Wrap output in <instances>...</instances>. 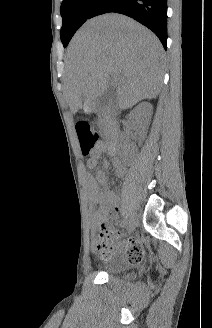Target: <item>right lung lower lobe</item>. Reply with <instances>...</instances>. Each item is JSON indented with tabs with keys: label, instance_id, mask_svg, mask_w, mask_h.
<instances>
[{
	"label": "right lung lower lobe",
	"instance_id": "98d812e1",
	"mask_svg": "<svg viewBox=\"0 0 212 328\" xmlns=\"http://www.w3.org/2000/svg\"><path fill=\"white\" fill-rule=\"evenodd\" d=\"M108 12L127 15L152 30L164 48L167 43V0H100L89 18Z\"/></svg>",
	"mask_w": 212,
	"mask_h": 328
}]
</instances>
